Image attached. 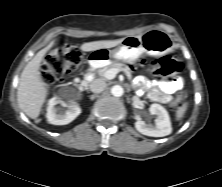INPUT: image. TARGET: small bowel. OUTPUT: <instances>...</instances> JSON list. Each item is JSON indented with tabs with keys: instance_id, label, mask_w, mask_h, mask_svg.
Instances as JSON below:
<instances>
[{
	"instance_id": "1",
	"label": "small bowel",
	"mask_w": 222,
	"mask_h": 187,
	"mask_svg": "<svg viewBox=\"0 0 222 187\" xmlns=\"http://www.w3.org/2000/svg\"><path fill=\"white\" fill-rule=\"evenodd\" d=\"M137 86L141 90L147 91L151 101L166 104L172 100V95L183 87V82L180 78L151 81L145 77H140L137 80Z\"/></svg>"
}]
</instances>
